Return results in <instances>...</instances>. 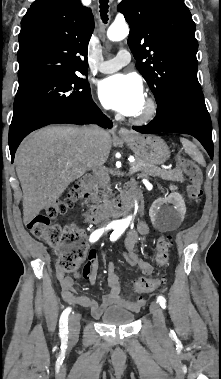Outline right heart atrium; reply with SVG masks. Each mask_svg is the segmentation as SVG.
Here are the masks:
<instances>
[{
  "label": "right heart atrium",
  "instance_id": "1",
  "mask_svg": "<svg viewBox=\"0 0 221 379\" xmlns=\"http://www.w3.org/2000/svg\"><path fill=\"white\" fill-rule=\"evenodd\" d=\"M98 109H99L101 112H104V109H103V107H101V106H98Z\"/></svg>",
  "mask_w": 221,
  "mask_h": 379
}]
</instances>
